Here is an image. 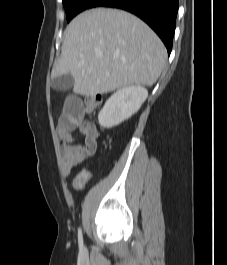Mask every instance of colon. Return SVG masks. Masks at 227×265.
<instances>
[{
	"instance_id": "obj_1",
	"label": "colon",
	"mask_w": 227,
	"mask_h": 265,
	"mask_svg": "<svg viewBox=\"0 0 227 265\" xmlns=\"http://www.w3.org/2000/svg\"><path fill=\"white\" fill-rule=\"evenodd\" d=\"M83 102H85L86 111L90 112L99 106L101 102V97L100 96H88L83 99Z\"/></svg>"
}]
</instances>
